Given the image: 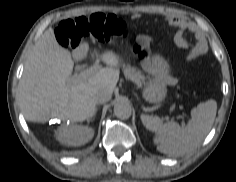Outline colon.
<instances>
[{
    "label": "colon",
    "instance_id": "obj_1",
    "mask_svg": "<svg viewBox=\"0 0 236 182\" xmlns=\"http://www.w3.org/2000/svg\"><path fill=\"white\" fill-rule=\"evenodd\" d=\"M125 35V24L113 15L96 13L60 22L56 38L63 47H77L86 37L99 41H111Z\"/></svg>",
    "mask_w": 236,
    "mask_h": 182
}]
</instances>
